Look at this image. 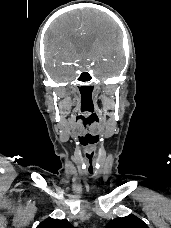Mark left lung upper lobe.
Instances as JSON below:
<instances>
[{
    "label": "left lung upper lobe",
    "instance_id": "5c2ea615",
    "mask_svg": "<svg viewBox=\"0 0 171 228\" xmlns=\"http://www.w3.org/2000/svg\"><path fill=\"white\" fill-rule=\"evenodd\" d=\"M106 228H149L146 223L135 216H126L111 220Z\"/></svg>",
    "mask_w": 171,
    "mask_h": 228
}]
</instances>
